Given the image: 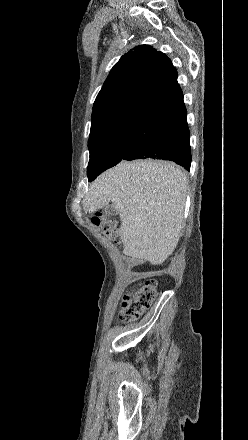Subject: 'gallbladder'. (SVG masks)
Segmentation results:
<instances>
[{"label": "gallbladder", "instance_id": "1", "mask_svg": "<svg viewBox=\"0 0 248 440\" xmlns=\"http://www.w3.org/2000/svg\"><path fill=\"white\" fill-rule=\"evenodd\" d=\"M116 213H117V210L115 209L113 204H110V205H107L106 207H104V210H103L104 216L111 217V216L116 215Z\"/></svg>", "mask_w": 248, "mask_h": 440}]
</instances>
